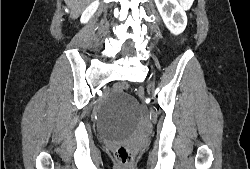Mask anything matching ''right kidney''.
<instances>
[{"label":"right kidney","mask_w":250,"mask_h":169,"mask_svg":"<svg viewBox=\"0 0 250 169\" xmlns=\"http://www.w3.org/2000/svg\"><path fill=\"white\" fill-rule=\"evenodd\" d=\"M99 6V0H93L85 10H83L80 18V22H88L89 18L93 16Z\"/></svg>","instance_id":"1"}]
</instances>
